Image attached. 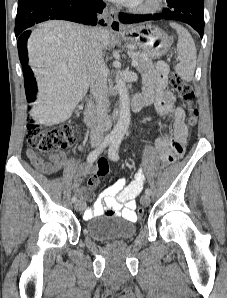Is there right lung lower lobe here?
<instances>
[{"instance_id": "1", "label": "right lung lower lobe", "mask_w": 227, "mask_h": 298, "mask_svg": "<svg viewBox=\"0 0 227 298\" xmlns=\"http://www.w3.org/2000/svg\"><path fill=\"white\" fill-rule=\"evenodd\" d=\"M105 4L102 0H19L15 21V35L18 37V52L22 64H27V39L30 31L26 29L48 19H63L85 25H96V13H101ZM101 25L104 24L100 20ZM24 78L31 73L23 66Z\"/></svg>"}]
</instances>
